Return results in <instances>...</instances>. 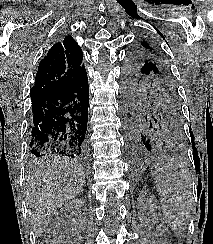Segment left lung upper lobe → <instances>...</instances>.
<instances>
[{"mask_svg": "<svg viewBox=\"0 0 213 244\" xmlns=\"http://www.w3.org/2000/svg\"><path fill=\"white\" fill-rule=\"evenodd\" d=\"M123 106L156 127L163 139L182 135L181 105L171 70L164 57L142 41L124 67Z\"/></svg>", "mask_w": 213, "mask_h": 244, "instance_id": "5c2ea615", "label": "left lung upper lobe"}]
</instances>
